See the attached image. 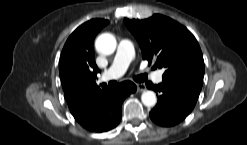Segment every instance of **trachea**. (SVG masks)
I'll use <instances>...</instances> for the list:
<instances>
[{
  "instance_id": "1",
  "label": "trachea",
  "mask_w": 247,
  "mask_h": 145,
  "mask_svg": "<svg viewBox=\"0 0 247 145\" xmlns=\"http://www.w3.org/2000/svg\"><path fill=\"white\" fill-rule=\"evenodd\" d=\"M147 79V74H142L134 77V80L137 82H143Z\"/></svg>"
}]
</instances>
